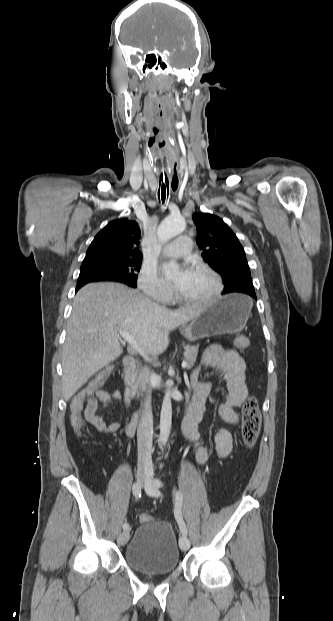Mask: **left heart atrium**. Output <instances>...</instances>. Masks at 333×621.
<instances>
[{
	"label": "left heart atrium",
	"mask_w": 333,
	"mask_h": 621,
	"mask_svg": "<svg viewBox=\"0 0 333 621\" xmlns=\"http://www.w3.org/2000/svg\"><path fill=\"white\" fill-rule=\"evenodd\" d=\"M165 271L171 275V284L175 289H180L190 275V269L186 267L174 268L171 265L165 267Z\"/></svg>",
	"instance_id": "39dd6f15"
}]
</instances>
